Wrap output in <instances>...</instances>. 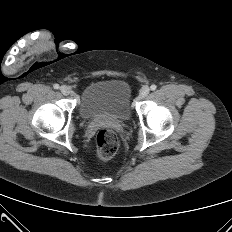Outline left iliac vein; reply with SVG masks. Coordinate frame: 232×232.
<instances>
[{
	"label": "left iliac vein",
	"instance_id": "left-iliac-vein-1",
	"mask_svg": "<svg viewBox=\"0 0 232 232\" xmlns=\"http://www.w3.org/2000/svg\"><path fill=\"white\" fill-rule=\"evenodd\" d=\"M150 92V88L148 86H143L141 89H140V96L142 98H145L147 97V95L149 94Z\"/></svg>",
	"mask_w": 232,
	"mask_h": 232
}]
</instances>
